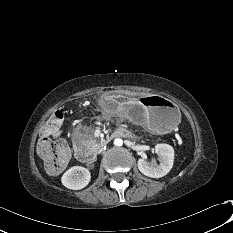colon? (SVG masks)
<instances>
[{"label":"colon","instance_id":"1","mask_svg":"<svg viewBox=\"0 0 233 233\" xmlns=\"http://www.w3.org/2000/svg\"><path fill=\"white\" fill-rule=\"evenodd\" d=\"M64 115L55 111L42 125L43 139L38 143L37 151L49 173H59L67 166L70 159V150L63 140L50 139L56 136L62 127Z\"/></svg>","mask_w":233,"mask_h":233}]
</instances>
